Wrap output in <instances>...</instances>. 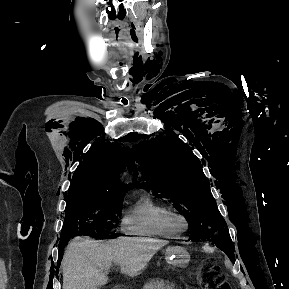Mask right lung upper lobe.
Segmentation results:
<instances>
[{
	"label": "right lung upper lobe",
	"mask_w": 289,
	"mask_h": 289,
	"mask_svg": "<svg viewBox=\"0 0 289 289\" xmlns=\"http://www.w3.org/2000/svg\"><path fill=\"white\" fill-rule=\"evenodd\" d=\"M91 148L70 179L68 198L122 195L126 188L120 186L118 177L130 151L118 143H98Z\"/></svg>",
	"instance_id": "cb5924a9"
}]
</instances>
